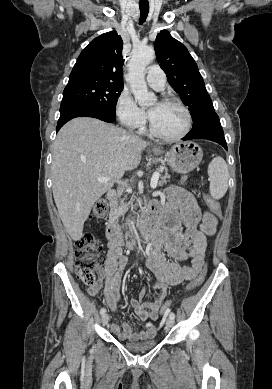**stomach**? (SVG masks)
Masks as SVG:
<instances>
[{"label": "stomach", "instance_id": "1", "mask_svg": "<svg viewBox=\"0 0 272 389\" xmlns=\"http://www.w3.org/2000/svg\"><path fill=\"white\" fill-rule=\"evenodd\" d=\"M152 151L155 155L164 154L167 164L172 170L182 174L194 170L203 158L201 147L194 142L178 143L166 152L159 147H154Z\"/></svg>", "mask_w": 272, "mask_h": 389}]
</instances>
